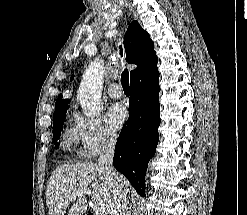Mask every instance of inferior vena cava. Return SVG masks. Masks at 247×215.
<instances>
[{"instance_id": "inferior-vena-cava-1", "label": "inferior vena cava", "mask_w": 247, "mask_h": 215, "mask_svg": "<svg viewBox=\"0 0 247 215\" xmlns=\"http://www.w3.org/2000/svg\"><path fill=\"white\" fill-rule=\"evenodd\" d=\"M116 141L109 138L103 142L102 153L97 166L104 169L106 179L111 183L114 196L111 205L112 215H129L127 209V193L119 181L118 174L113 167V156Z\"/></svg>"}]
</instances>
